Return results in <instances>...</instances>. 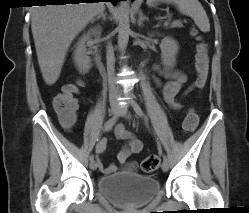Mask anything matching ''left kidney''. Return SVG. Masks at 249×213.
I'll use <instances>...</instances> for the list:
<instances>
[{"mask_svg": "<svg viewBox=\"0 0 249 213\" xmlns=\"http://www.w3.org/2000/svg\"><path fill=\"white\" fill-rule=\"evenodd\" d=\"M162 63L165 67H174L176 54L178 53V44L171 37H165L160 44Z\"/></svg>", "mask_w": 249, "mask_h": 213, "instance_id": "obj_1", "label": "left kidney"}]
</instances>
